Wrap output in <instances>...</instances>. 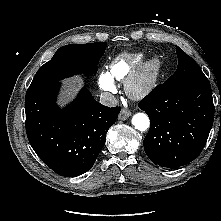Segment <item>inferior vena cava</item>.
<instances>
[{"mask_svg": "<svg viewBox=\"0 0 221 221\" xmlns=\"http://www.w3.org/2000/svg\"><path fill=\"white\" fill-rule=\"evenodd\" d=\"M100 103L108 107H114L118 104V100L113 94L104 92L100 95Z\"/></svg>", "mask_w": 221, "mask_h": 221, "instance_id": "1", "label": "inferior vena cava"}]
</instances>
